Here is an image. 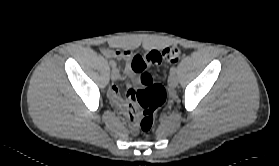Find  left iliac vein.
I'll return each instance as SVG.
<instances>
[{"label": "left iliac vein", "mask_w": 279, "mask_h": 166, "mask_svg": "<svg viewBox=\"0 0 279 166\" xmlns=\"http://www.w3.org/2000/svg\"><path fill=\"white\" fill-rule=\"evenodd\" d=\"M178 84V79L176 77L175 74H170L169 78H168V85L171 87V88H175Z\"/></svg>", "instance_id": "left-iliac-vein-1"}]
</instances>
